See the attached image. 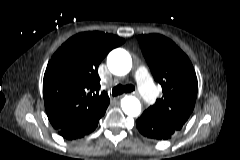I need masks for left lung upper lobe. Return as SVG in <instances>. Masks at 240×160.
I'll return each mask as SVG.
<instances>
[{
	"label": "left lung upper lobe",
	"instance_id": "1",
	"mask_svg": "<svg viewBox=\"0 0 240 160\" xmlns=\"http://www.w3.org/2000/svg\"><path fill=\"white\" fill-rule=\"evenodd\" d=\"M143 55L154 80L162 86L163 96L149 108L166 124L180 130L196 102L198 81L187 55L169 38L138 36Z\"/></svg>",
	"mask_w": 240,
	"mask_h": 160
}]
</instances>
